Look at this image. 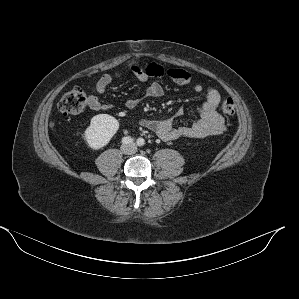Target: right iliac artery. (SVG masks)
I'll list each match as a JSON object with an SVG mask.
<instances>
[{
  "instance_id": "right-iliac-artery-1",
  "label": "right iliac artery",
  "mask_w": 299,
  "mask_h": 299,
  "mask_svg": "<svg viewBox=\"0 0 299 299\" xmlns=\"http://www.w3.org/2000/svg\"><path fill=\"white\" fill-rule=\"evenodd\" d=\"M134 139L129 137V136H126V137H123L122 138V143L123 144H130V143H133Z\"/></svg>"
}]
</instances>
